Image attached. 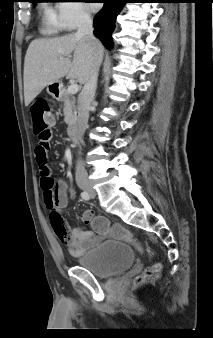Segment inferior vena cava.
I'll use <instances>...</instances> for the list:
<instances>
[{"mask_svg": "<svg viewBox=\"0 0 213 338\" xmlns=\"http://www.w3.org/2000/svg\"><path fill=\"white\" fill-rule=\"evenodd\" d=\"M76 36L83 37L88 41L92 42V44L96 49L97 40L93 35L92 20L91 17L86 13H83L81 16ZM95 51H96L95 62L93 69L91 71L88 81L84 84V87L78 97L77 126H78V135L80 138L83 136L88 123L89 108L95 96L97 88L98 70L103 59V51L97 49ZM76 180L77 181L88 180L87 172L80 160L77 161L76 165Z\"/></svg>", "mask_w": 213, "mask_h": 338, "instance_id": "inferior-vena-cava-1", "label": "inferior vena cava"}]
</instances>
